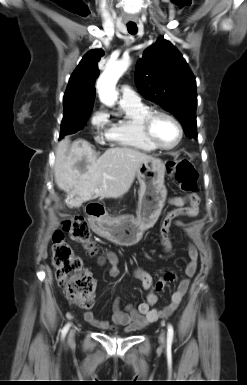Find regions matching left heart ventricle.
Masks as SVG:
<instances>
[{
	"label": "left heart ventricle",
	"instance_id": "1",
	"mask_svg": "<svg viewBox=\"0 0 247 385\" xmlns=\"http://www.w3.org/2000/svg\"><path fill=\"white\" fill-rule=\"evenodd\" d=\"M152 128L156 140L163 146H171L178 140L179 132L176 125L166 117H157Z\"/></svg>",
	"mask_w": 247,
	"mask_h": 385
}]
</instances>
